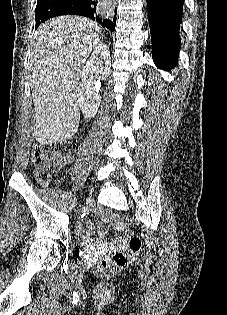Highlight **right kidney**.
Masks as SVG:
<instances>
[{
    "instance_id": "right-kidney-1",
    "label": "right kidney",
    "mask_w": 227,
    "mask_h": 315,
    "mask_svg": "<svg viewBox=\"0 0 227 315\" xmlns=\"http://www.w3.org/2000/svg\"><path fill=\"white\" fill-rule=\"evenodd\" d=\"M110 66L109 48L106 44L100 43L83 67L82 82L78 87L77 102L87 119H91L96 115L101 102L100 95L94 92V75L100 74L102 78H107L110 75Z\"/></svg>"
}]
</instances>
